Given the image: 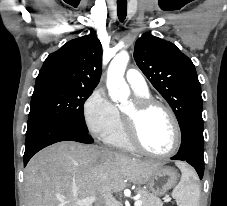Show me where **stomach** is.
<instances>
[{
	"instance_id": "stomach-1",
	"label": "stomach",
	"mask_w": 227,
	"mask_h": 206,
	"mask_svg": "<svg viewBox=\"0 0 227 206\" xmlns=\"http://www.w3.org/2000/svg\"><path fill=\"white\" fill-rule=\"evenodd\" d=\"M178 181L177 171L169 166H161L148 181L150 189L156 195H163L172 189Z\"/></svg>"
}]
</instances>
